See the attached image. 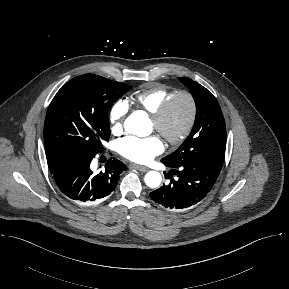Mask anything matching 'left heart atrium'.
Masks as SVG:
<instances>
[{"instance_id": "left-heart-atrium-1", "label": "left heart atrium", "mask_w": 289, "mask_h": 289, "mask_svg": "<svg viewBox=\"0 0 289 289\" xmlns=\"http://www.w3.org/2000/svg\"><path fill=\"white\" fill-rule=\"evenodd\" d=\"M117 150L120 155L132 162L147 164L163 152L164 146L156 135L144 138L126 136L118 140Z\"/></svg>"}]
</instances>
